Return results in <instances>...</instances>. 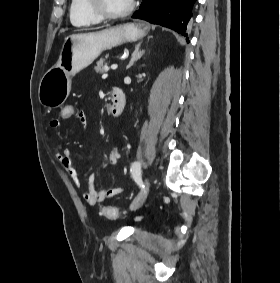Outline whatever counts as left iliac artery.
I'll list each match as a JSON object with an SVG mask.
<instances>
[{"instance_id": "1", "label": "left iliac artery", "mask_w": 280, "mask_h": 283, "mask_svg": "<svg viewBox=\"0 0 280 283\" xmlns=\"http://www.w3.org/2000/svg\"><path fill=\"white\" fill-rule=\"evenodd\" d=\"M135 182L143 189L144 184L141 178V164L137 161L133 162L130 169Z\"/></svg>"}]
</instances>
